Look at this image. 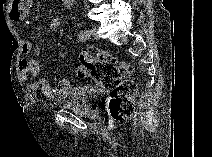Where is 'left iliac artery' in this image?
Here are the masks:
<instances>
[{
  "label": "left iliac artery",
  "mask_w": 212,
  "mask_h": 157,
  "mask_svg": "<svg viewBox=\"0 0 212 157\" xmlns=\"http://www.w3.org/2000/svg\"><path fill=\"white\" fill-rule=\"evenodd\" d=\"M89 32L88 30H83L78 34V38L80 41H85L86 39L89 38Z\"/></svg>",
  "instance_id": "44dca946"
}]
</instances>
